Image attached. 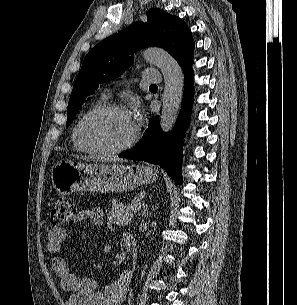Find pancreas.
<instances>
[{"label":"pancreas","instance_id":"1","mask_svg":"<svg viewBox=\"0 0 297 305\" xmlns=\"http://www.w3.org/2000/svg\"><path fill=\"white\" fill-rule=\"evenodd\" d=\"M113 206L108 213V219L117 225H126L131 222L133 218V211L131 206H124L120 204L117 199H113Z\"/></svg>","mask_w":297,"mask_h":305}]
</instances>
